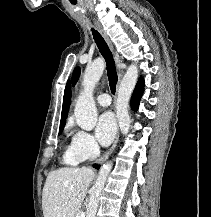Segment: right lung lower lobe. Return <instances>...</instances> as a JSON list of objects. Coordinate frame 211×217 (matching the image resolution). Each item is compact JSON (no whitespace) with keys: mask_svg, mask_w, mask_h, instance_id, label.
<instances>
[{"mask_svg":"<svg viewBox=\"0 0 211 217\" xmlns=\"http://www.w3.org/2000/svg\"><path fill=\"white\" fill-rule=\"evenodd\" d=\"M93 167L99 169V165H93Z\"/></svg>","mask_w":211,"mask_h":217,"instance_id":"obj_1","label":"right lung lower lobe"}]
</instances>
